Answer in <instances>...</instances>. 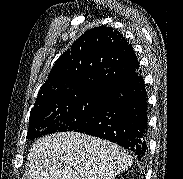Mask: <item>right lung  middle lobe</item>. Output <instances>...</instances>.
<instances>
[{"label": "right lung middle lobe", "instance_id": "right-lung-middle-lobe-1", "mask_svg": "<svg viewBox=\"0 0 183 179\" xmlns=\"http://www.w3.org/2000/svg\"><path fill=\"white\" fill-rule=\"evenodd\" d=\"M101 94H85L72 98H58L31 110L27 138L55 132L76 131L95 114ZM41 128H47L40 134Z\"/></svg>", "mask_w": 183, "mask_h": 179}]
</instances>
